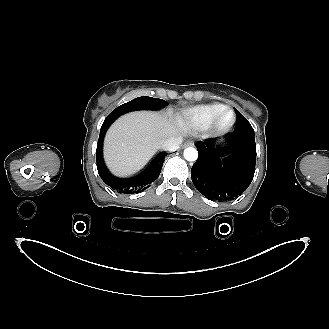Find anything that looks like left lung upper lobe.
<instances>
[{"instance_id": "1", "label": "left lung upper lobe", "mask_w": 329, "mask_h": 329, "mask_svg": "<svg viewBox=\"0 0 329 329\" xmlns=\"http://www.w3.org/2000/svg\"><path fill=\"white\" fill-rule=\"evenodd\" d=\"M236 115H237V122L236 126L234 128V131H250L253 130L251 124L246 120V118L237 110Z\"/></svg>"}]
</instances>
